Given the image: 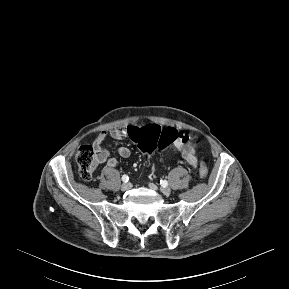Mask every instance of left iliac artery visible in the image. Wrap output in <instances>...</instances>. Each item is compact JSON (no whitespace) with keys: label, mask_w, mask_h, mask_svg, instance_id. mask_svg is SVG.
Listing matches in <instances>:
<instances>
[{"label":"left iliac artery","mask_w":289,"mask_h":289,"mask_svg":"<svg viewBox=\"0 0 289 289\" xmlns=\"http://www.w3.org/2000/svg\"><path fill=\"white\" fill-rule=\"evenodd\" d=\"M160 184H161L163 187L168 186V182H167L166 180H161V181H160Z\"/></svg>","instance_id":"1"}]
</instances>
